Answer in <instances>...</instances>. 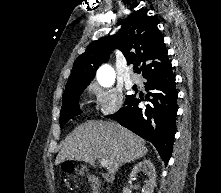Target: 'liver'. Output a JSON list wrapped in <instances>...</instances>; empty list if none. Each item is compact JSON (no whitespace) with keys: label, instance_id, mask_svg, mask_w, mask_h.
I'll return each mask as SVG.
<instances>
[{"label":"liver","instance_id":"obj_1","mask_svg":"<svg viewBox=\"0 0 221 193\" xmlns=\"http://www.w3.org/2000/svg\"><path fill=\"white\" fill-rule=\"evenodd\" d=\"M148 152L144 141L126 128L109 121H87L74 129L63 143L55 164L65 160L84 161L94 166L97 159L108 161L109 173Z\"/></svg>","mask_w":221,"mask_h":193}]
</instances>
